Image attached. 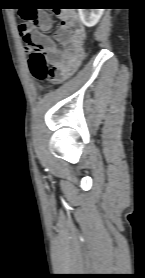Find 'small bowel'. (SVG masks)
Segmentation results:
<instances>
[{
    "instance_id": "obj_1",
    "label": "small bowel",
    "mask_w": 145,
    "mask_h": 278,
    "mask_svg": "<svg viewBox=\"0 0 145 278\" xmlns=\"http://www.w3.org/2000/svg\"><path fill=\"white\" fill-rule=\"evenodd\" d=\"M57 14L61 19V25L57 29L54 39L45 34L52 27V21L45 12L20 25L21 31L30 33L34 37L39 49L50 63V73L55 79L75 71L85 56L82 47L85 31L75 12L59 11ZM56 42L61 48L57 46Z\"/></svg>"
}]
</instances>
